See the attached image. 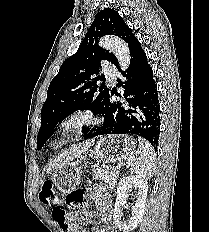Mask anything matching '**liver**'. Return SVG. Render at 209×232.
<instances>
[{"label": "liver", "instance_id": "6515ba94", "mask_svg": "<svg viewBox=\"0 0 209 232\" xmlns=\"http://www.w3.org/2000/svg\"><path fill=\"white\" fill-rule=\"evenodd\" d=\"M93 143L94 142L81 143L79 145L73 146L69 150L64 151L48 165L47 172L66 165L67 163L73 161L75 158L80 157L83 153L88 151Z\"/></svg>", "mask_w": 209, "mask_h": 232}]
</instances>
